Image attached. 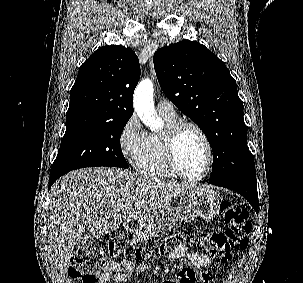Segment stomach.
Wrapping results in <instances>:
<instances>
[{"label": "stomach", "mask_w": 303, "mask_h": 283, "mask_svg": "<svg viewBox=\"0 0 303 283\" xmlns=\"http://www.w3.org/2000/svg\"><path fill=\"white\" fill-rule=\"evenodd\" d=\"M219 204L214 191L201 187L181 196L177 206H169L161 213L139 220L137 231L149 237H159L169 232L177 220L212 219L219 212Z\"/></svg>", "instance_id": "obj_1"}]
</instances>
